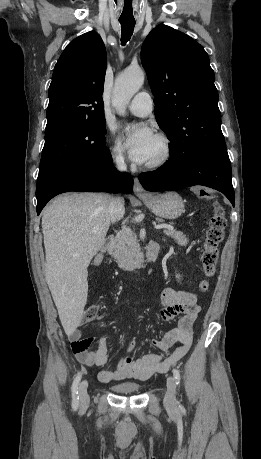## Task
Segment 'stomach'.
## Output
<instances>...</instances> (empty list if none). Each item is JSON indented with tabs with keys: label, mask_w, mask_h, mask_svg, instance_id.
I'll use <instances>...</instances> for the list:
<instances>
[{
	"label": "stomach",
	"mask_w": 261,
	"mask_h": 459,
	"mask_svg": "<svg viewBox=\"0 0 261 459\" xmlns=\"http://www.w3.org/2000/svg\"><path fill=\"white\" fill-rule=\"evenodd\" d=\"M141 199L154 214L165 219H176L184 212L181 196L173 191L150 194Z\"/></svg>",
	"instance_id": "0dacf381"
}]
</instances>
